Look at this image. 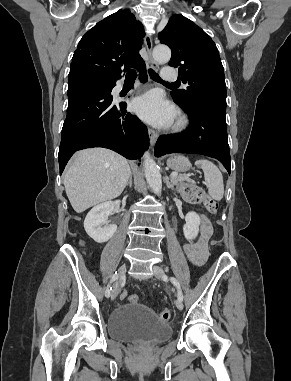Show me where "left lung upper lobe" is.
<instances>
[{"label":"left lung upper lobe","mask_w":291,"mask_h":381,"mask_svg":"<svg viewBox=\"0 0 291 381\" xmlns=\"http://www.w3.org/2000/svg\"><path fill=\"white\" fill-rule=\"evenodd\" d=\"M161 43L171 48L170 66L179 68L180 79L187 88L172 91L181 107L193 102L226 105V85L223 65L212 39L183 15L171 16L158 34Z\"/></svg>","instance_id":"left-lung-upper-lobe-1"}]
</instances>
